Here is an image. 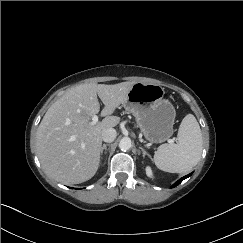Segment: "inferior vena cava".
<instances>
[{
  "label": "inferior vena cava",
  "mask_w": 243,
  "mask_h": 243,
  "mask_svg": "<svg viewBox=\"0 0 243 243\" xmlns=\"http://www.w3.org/2000/svg\"><path fill=\"white\" fill-rule=\"evenodd\" d=\"M117 132L113 128H108L102 132V140L107 143H111L115 140Z\"/></svg>",
  "instance_id": "1"
}]
</instances>
